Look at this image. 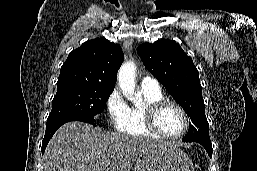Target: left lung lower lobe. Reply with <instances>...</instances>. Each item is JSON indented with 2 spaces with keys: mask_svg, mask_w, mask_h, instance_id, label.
I'll list each match as a JSON object with an SVG mask.
<instances>
[{
  "mask_svg": "<svg viewBox=\"0 0 257 171\" xmlns=\"http://www.w3.org/2000/svg\"><path fill=\"white\" fill-rule=\"evenodd\" d=\"M192 142H197V143L201 144L206 149L208 155L210 157H212L213 149H212L211 141H201V140H198V141H192Z\"/></svg>",
  "mask_w": 257,
  "mask_h": 171,
  "instance_id": "obj_1",
  "label": "left lung lower lobe"
}]
</instances>
